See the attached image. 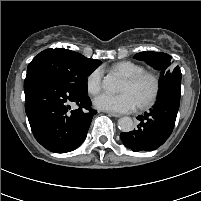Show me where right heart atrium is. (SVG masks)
I'll use <instances>...</instances> for the list:
<instances>
[{
  "mask_svg": "<svg viewBox=\"0 0 201 201\" xmlns=\"http://www.w3.org/2000/svg\"><path fill=\"white\" fill-rule=\"evenodd\" d=\"M103 72L100 68L94 69L86 78V89L90 95H96L102 88Z\"/></svg>",
  "mask_w": 201,
  "mask_h": 201,
  "instance_id": "1",
  "label": "right heart atrium"
}]
</instances>
